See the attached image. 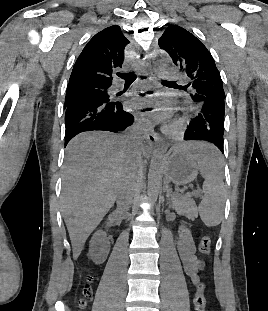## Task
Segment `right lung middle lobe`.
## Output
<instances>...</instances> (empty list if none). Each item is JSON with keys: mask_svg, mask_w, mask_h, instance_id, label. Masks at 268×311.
Listing matches in <instances>:
<instances>
[{"mask_svg": "<svg viewBox=\"0 0 268 311\" xmlns=\"http://www.w3.org/2000/svg\"><path fill=\"white\" fill-rule=\"evenodd\" d=\"M109 87H99L93 85H75L67 88L65 97V106L74 100L110 103L108 95Z\"/></svg>", "mask_w": 268, "mask_h": 311, "instance_id": "dd1d6c3e", "label": "right lung middle lobe"}]
</instances>
